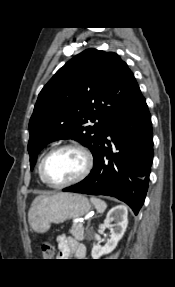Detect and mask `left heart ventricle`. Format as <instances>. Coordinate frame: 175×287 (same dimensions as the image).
Masks as SVG:
<instances>
[{"mask_svg": "<svg viewBox=\"0 0 175 287\" xmlns=\"http://www.w3.org/2000/svg\"><path fill=\"white\" fill-rule=\"evenodd\" d=\"M85 165L83 155L73 149L55 152L46 164V175L53 183H64L81 173Z\"/></svg>", "mask_w": 175, "mask_h": 287, "instance_id": "1", "label": "left heart ventricle"}]
</instances>
